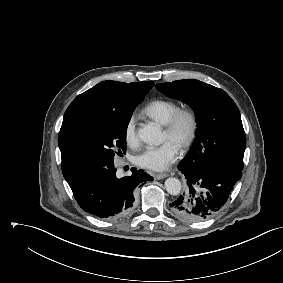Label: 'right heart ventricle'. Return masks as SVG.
<instances>
[{
    "label": "right heart ventricle",
    "instance_id": "e07e8e85",
    "mask_svg": "<svg viewBox=\"0 0 283 283\" xmlns=\"http://www.w3.org/2000/svg\"><path fill=\"white\" fill-rule=\"evenodd\" d=\"M179 105L171 100L156 99L147 104L143 114L165 126L179 109Z\"/></svg>",
    "mask_w": 283,
    "mask_h": 283
}]
</instances>
